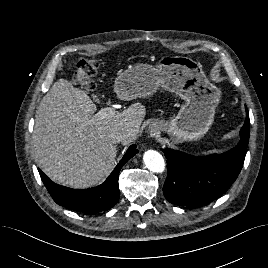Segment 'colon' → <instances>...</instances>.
<instances>
[{
    "label": "colon",
    "mask_w": 268,
    "mask_h": 268,
    "mask_svg": "<svg viewBox=\"0 0 268 268\" xmlns=\"http://www.w3.org/2000/svg\"><path fill=\"white\" fill-rule=\"evenodd\" d=\"M100 62L96 59H82L76 65V72L73 82L87 89L95 88L92 77L99 69Z\"/></svg>",
    "instance_id": "1"
}]
</instances>
